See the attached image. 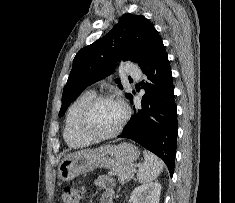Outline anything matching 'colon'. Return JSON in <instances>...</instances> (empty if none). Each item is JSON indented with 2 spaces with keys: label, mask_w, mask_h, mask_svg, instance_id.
<instances>
[{
  "label": "colon",
  "mask_w": 235,
  "mask_h": 203,
  "mask_svg": "<svg viewBox=\"0 0 235 203\" xmlns=\"http://www.w3.org/2000/svg\"><path fill=\"white\" fill-rule=\"evenodd\" d=\"M84 189L82 187H73L68 186L65 187L62 196L61 202L62 203H80L83 197Z\"/></svg>",
  "instance_id": "1"
}]
</instances>
